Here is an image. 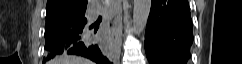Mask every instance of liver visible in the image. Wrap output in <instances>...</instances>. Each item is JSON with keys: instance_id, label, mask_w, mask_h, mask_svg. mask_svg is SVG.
I'll return each mask as SVG.
<instances>
[{"instance_id": "1", "label": "liver", "mask_w": 242, "mask_h": 64, "mask_svg": "<svg viewBox=\"0 0 242 64\" xmlns=\"http://www.w3.org/2000/svg\"><path fill=\"white\" fill-rule=\"evenodd\" d=\"M52 64H93V63L90 60L82 57L64 55L53 60Z\"/></svg>"}]
</instances>
